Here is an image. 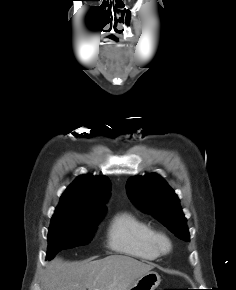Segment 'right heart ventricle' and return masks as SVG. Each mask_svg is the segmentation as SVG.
Segmentation results:
<instances>
[{
    "label": "right heart ventricle",
    "mask_w": 236,
    "mask_h": 290,
    "mask_svg": "<svg viewBox=\"0 0 236 290\" xmlns=\"http://www.w3.org/2000/svg\"><path fill=\"white\" fill-rule=\"evenodd\" d=\"M153 228L137 215L123 211L111 220L107 231V245L114 252L144 261L160 256L154 242Z\"/></svg>",
    "instance_id": "1"
}]
</instances>
